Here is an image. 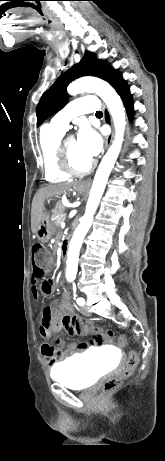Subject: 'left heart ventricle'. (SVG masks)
Masks as SVG:
<instances>
[{
    "mask_svg": "<svg viewBox=\"0 0 165 461\" xmlns=\"http://www.w3.org/2000/svg\"><path fill=\"white\" fill-rule=\"evenodd\" d=\"M67 148L71 163L78 169L85 168L91 159L86 157L80 150L77 141L74 137H71L67 141Z\"/></svg>",
    "mask_w": 165,
    "mask_h": 461,
    "instance_id": "left-heart-ventricle-1",
    "label": "left heart ventricle"
}]
</instances>
